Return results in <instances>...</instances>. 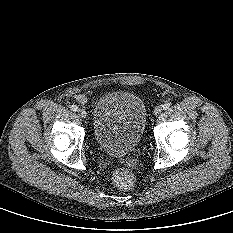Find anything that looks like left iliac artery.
Listing matches in <instances>:
<instances>
[{
  "instance_id": "44dca946",
  "label": "left iliac artery",
  "mask_w": 233,
  "mask_h": 233,
  "mask_svg": "<svg viewBox=\"0 0 233 233\" xmlns=\"http://www.w3.org/2000/svg\"><path fill=\"white\" fill-rule=\"evenodd\" d=\"M162 108H163L164 110H167V109L169 108V104H168V103L163 104V105H162Z\"/></svg>"
}]
</instances>
